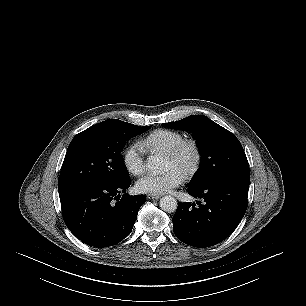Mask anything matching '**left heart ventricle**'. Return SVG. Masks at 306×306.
<instances>
[{"mask_svg": "<svg viewBox=\"0 0 306 306\" xmlns=\"http://www.w3.org/2000/svg\"><path fill=\"white\" fill-rule=\"evenodd\" d=\"M193 161H194V152L192 148L188 147L182 152V154L177 159H171L166 156L164 169L165 170L175 169L184 176L186 172L189 170V168L192 166Z\"/></svg>", "mask_w": 306, "mask_h": 306, "instance_id": "obj_1", "label": "left heart ventricle"}]
</instances>
